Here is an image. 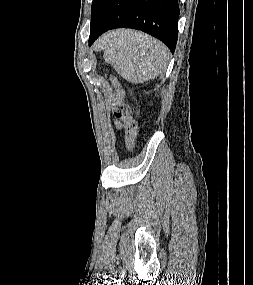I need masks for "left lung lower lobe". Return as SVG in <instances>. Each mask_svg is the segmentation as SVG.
<instances>
[{
    "mask_svg": "<svg viewBox=\"0 0 253 285\" xmlns=\"http://www.w3.org/2000/svg\"><path fill=\"white\" fill-rule=\"evenodd\" d=\"M178 0H108L90 27L89 45L114 28L144 31L175 51L178 33Z\"/></svg>",
    "mask_w": 253,
    "mask_h": 285,
    "instance_id": "0a47b994",
    "label": "left lung lower lobe"
}]
</instances>
